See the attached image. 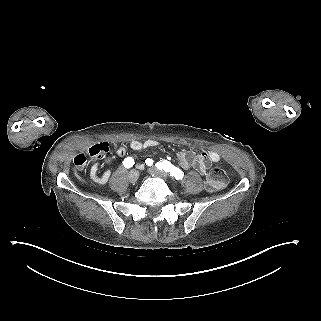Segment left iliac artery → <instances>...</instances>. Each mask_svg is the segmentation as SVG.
<instances>
[{
    "mask_svg": "<svg viewBox=\"0 0 321 321\" xmlns=\"http://www.w3.org/2000/svg\"><path fill=\"white\" fill-rule=\"evenodd\" d=\"M145 162L148 166H152L154 163V161L150 158H147ZM155 166L161 171L169 172L170 175L176 180H180L184 177L183 171L169 163V161L157 162L155 163Z\"/></svg>",
    "mask_w": 321,
    "mask_h": 321,
    "instance_id": "1",
    "label": "left iliac artery"
}]
</instances>
